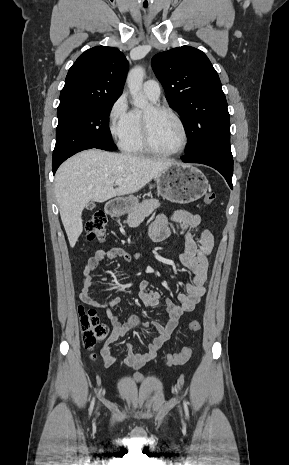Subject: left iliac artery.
<instances>
[{
  "label": "left iliac artery",
  "mask_w": 289,
  "mask_h": 465,
  "mask_svg": "<svg viewBox=\"0 0 289 465\" xmlns=\"http://www.w3.org/2000/svg\"><path fill=\"white\" fill-rule=\"evenodd\" d=\"M183 404H184V409H185L186 416L188 417L189 416V411H188L187 403H186L185 400H184Z\"/></svg>",
  "instance_id": "1"
}]
</instances>
